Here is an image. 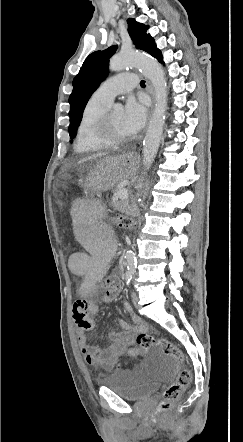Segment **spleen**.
<instances>
[{
    "label": "spleen",
    "mask_w": 243,
    "mask_h": 442,
    "mask_svg": "<svg viewBox=\"0 0 243 442\" xmlns=\"http://www.w3.org/2000/svg\"><path fill=\"white\" fill-rule=\"evenodd\" d=\"M66 201L77 202V205H72L73 217L77 219L74 235L88 251L75 261L78 274H84V279L90 280L85 287L77 288V295L95 296V286L99 285V280L107 279V258H115V241L106 239L107 230L96 217L102 212V207L95 200H90L86 205L82 193H67Z\"/></svg>",
    "instance_id": "spleen-1"
}]
</instances>
